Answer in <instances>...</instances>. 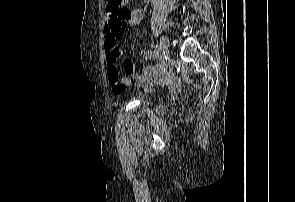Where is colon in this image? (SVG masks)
<instances>
[{"mask_svg": "<svg viewBox=\"0 0 295 202\" xmlns=\"http://www.w3.org/2000/svg\"><path fill=\"white\" fill-rule=\"evenodd\" d=\"M129 0H106V12L111 18H117L123 21V27L126 26V20L129 13L126 5ZM131 63V62H130Z\"/></svg>", "mask_w": 295, "mask_h": 202, "instance_id": "5ec220e1", "label": "colon"}]
</instances>
